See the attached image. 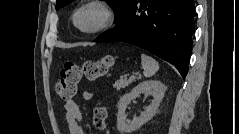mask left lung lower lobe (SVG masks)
Wrapping results in <instances>:
<instances>
[{
    "label": "left lung lower lobe",
    "instance_id": "obj_1",
    "mask_svg": "<svg viewBox=\"0 0 239 134\" xmlns=\"http://www.w3.org/2000/svg\"><path fill=\"white\" fill-rule=\"evenodd\" d=\"M194 0H132L112 30L95 42L119 41L141 47L188 73L195 30Z\"/></svg>",
    "mask_w": 239,
    "mask_h": 134
}]
</instances>
